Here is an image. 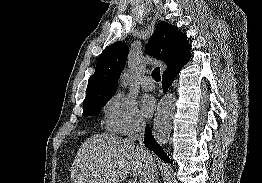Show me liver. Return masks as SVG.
<instances>
[{
	"mask_svg": "<svg viewBox=\"0 0 262 183\" xmlns=\"http://www.w3.org/2000/svg\"><path fill=\"white\" fill-rule=\"evenodd\" d=\"M139 149L129 138L96 134L80 146L71 167L72 183H119L141 173Z\"/></svg>",
	"mask_w": 262,
	"mask_h": 183,
	"instance_id": "1",
	"label": "liver"
}]
</instances>
